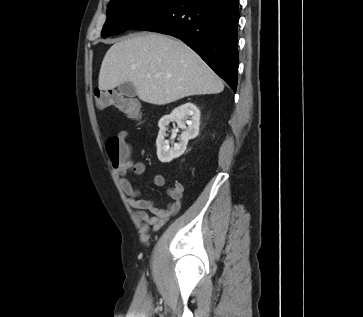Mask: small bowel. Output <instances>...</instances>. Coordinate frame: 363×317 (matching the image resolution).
Returning a JSON list of instances; mask_svg holds the SVG:
<instances>
[{"label": "small bowel", "instance_id": "small-bowel-1", "mask_svg": "<svg viewBox=\"0 0 363 317\" xmlns=\"http://www.w3.org/2000/svg\"><path fill=\"white\" fill-rule=\"evenodd\" d=\"M127 135L128 133L126 131L120 132V136L124 141L127 138ZM114 171L117 175L120 187L126 194L127 203L130 207L135 209V215L143 223L144 227L158 229L170 217L175 216L180 211L184 192L182 183L175 182L167 190L171 202L166 208H160L153 200L141 198L140 191L133 187L131 181L127 177L129 171H133L136 175L144 174L146 172V165L143 162H135L128 158L122 164L118 166L115 165ZM152 183L157 187H161L165 184V177L162 174H154L152 176Z\"/></svg>", "mask_w": 363, "mask_h": 317}]
</instances>
